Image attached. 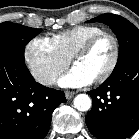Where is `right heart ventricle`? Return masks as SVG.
Listing matches in <instances>:
<instances>
[{
	"label": "right heart ventricle",
	"instance_id": "e07e8e85",
	"mask_svg": "<svg viewBox=\"0 0 139 139\" xmlns=\"http://www.w3.org/2000/svg\"><path fill=\"white\" fill-rule=\"evenodd\" d=\"M102 31L98 26L79 25L54 34L49 40L60 54L70 60L84 42Z\"/></svg>",
	"mask_w": 139,
	"mask_h": 139
}]
</instances>
